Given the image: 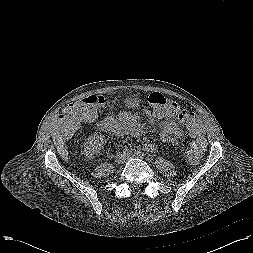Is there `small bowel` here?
<instances>
[{
  "mask_svg": "<svg viewBox=\"0 0 253 253\" xmlns=\"http://www.w3.org/2000/svg\"><path fill=\"white\" fill-rule=\"evenodd\" d=\"M146 114L149 113L147 112ZM118 121L121 125L126 127V130L129 134L133 136H140L142 134V128L137 117L133 116L130 112H120ZM158 128L160 131L161 140L165 143L176 144L183 135L179 125L171 120L161 121L158 124ZM62 133L64 132L62 131ZM64 135L66 134L64 133ZM156 149L157 147L153 144H147L145 146V150L148 152H154Z\"/></svg>",
  "mask_w": 253,
  "mask_h": 253,
  "instance_id": "1",
  "label": "small bowel"
}]
</instances>
